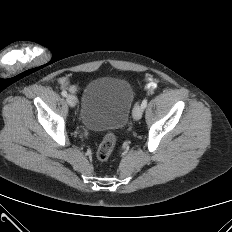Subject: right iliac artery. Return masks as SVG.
<instances>
[{"label": "right iliac artery", "mask_w": 232, "mask_h": 232, "mask_svg": "<svg viewBox=\"0 0 232 232\" xmlns=\"http://www.w3.org/2000/svg\"><path fill=\"white\" fill-rule=\"evenodd\" d=\"M61 95L64 96V97H66V96H67V92L63 90V91L61 92Z\"/></svg>", "instance_id": "82829eb1"}]
</instances>
